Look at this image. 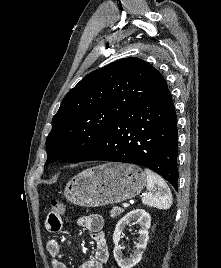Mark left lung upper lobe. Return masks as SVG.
<instances>
[{
  "label": "left lung upper lobe",
  "mask_w": 221,
  "mask_h": 268,
  "mask_svg": "<svg viewBox=\"0 0 221 268\" xmlns=\"http://www.w3.org/2000/svg\"><path fill=\"white\" fill-rule=\"evenodd\" d=\"M166 87L162 75L138 58L91 72L67 93L52 119L47 162L85 161L118 117Z\"/></svg>",
  "instance_id": "1"
}]
</instances>
